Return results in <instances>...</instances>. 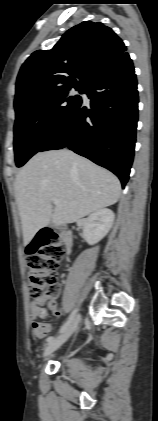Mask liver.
Returning <instances> with one entry per match:
<instances>
[{"label":"liver","instance_id":"obj_1","mask_svg":"<svg viewBox=\"0 0 158 421\" xmlns=\"http://www.w3.org/2000/svg\"><path fill=\"white\" fill-rule=\"evenodd\" d=\"M119 179L74 152L52 150L35 154L15 180V197L24 245L49 223L64 225L115 204ZM59 200L53 210L52 202Z\"/></svg>","mask_w":158,"mask_h":421}]
</instances>
